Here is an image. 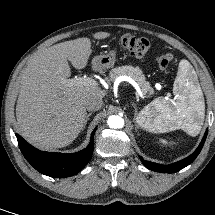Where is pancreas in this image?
I'll list each match as a JSON object with an SVG mask.
<instances>
[{"label":"pancreas","mask_w":215,"mask_h":215,"mask_svg":"<svg viewBox=\"0 0 215 215\" xmlns=\"http://www.w3.org/2000/svg\"><path fill=\"white\" fill-rule=\"evenodd\" d=\"M121 75L129 76L133 80H135L144 93H153V88L150 86L149 82L145 80V77L140 68H134L132 66H122L114 68L110 72V80L113 81Z\"/></svg>","instance_id":"cf45deb5"}]
</instances>
